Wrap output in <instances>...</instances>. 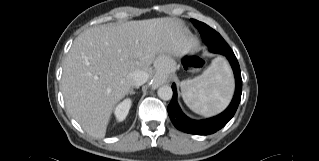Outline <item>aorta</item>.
I'll return each instance as SVG.
<instances>
[{
  "label": "aorta",
  "mask_w": 319,
  "mask_h": 161,
  "mask_svg": "<svg viewBox=\"0 0 319 161\" xmlns=\"http://www.w3.org/2000/svg\"><path fill=\"white\" fill-rule=\"evenodd\" d=\"M173 91L170 86L163 85L158 89V96L160 99L168 101L172 98Z\"/></svg>",
  "instance_id": "aorta-1"
}]
</instances>
